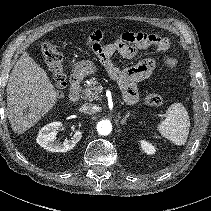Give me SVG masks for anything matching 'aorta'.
<instances>
[{
    "instance_id": "1",
    "label": "aorta",
    "mask_w": 211,
    "mask_h": 211,
    "mask_svg": "<svg viewBox=\"0 0 211 211\" xmlns=\"http://www.w3.org/2000/svg\"><path fill=\"white\" fill-rule=\"evenodd\" d=\"M112 131V125L109 120H102L97 124V132L99 135L107 136Z\"/></svg>"
}]
</instances>
